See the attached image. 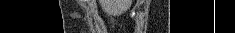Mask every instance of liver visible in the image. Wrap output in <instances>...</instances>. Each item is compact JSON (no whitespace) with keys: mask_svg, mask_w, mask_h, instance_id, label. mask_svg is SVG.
<instances>
[{"mask_svg":"<svg viewBox=\"0 0 235 33\" xmlns=\"http://www.w3.org/2000/svg\"><path fill=\"white\" fill-rule=\"evenodd\" d=\"M102 10L110 15L126 12L131 6V0H99Z\"/></svg>","mask_w":235,"mask_h":33,"instance_id":"liver-1","label":"liver"}]
</instances>
